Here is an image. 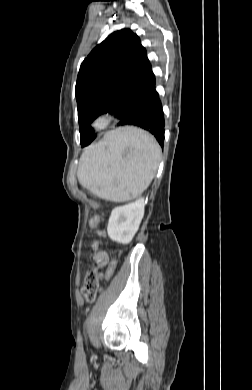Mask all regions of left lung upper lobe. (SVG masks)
<instances>
[{
  "mask_svg": "<svg viewBox=\"0 0 252 390\" xmlns=\"http://www.w3.org/2000/svg\"><path fill=\"white\" fill-rule=\"evenodd\" d=\"M152 73L146 49L130 29L97 45L82 62L75 87L80 137L101 113L117 116Z\"/></svg>",
  "mask_w": 252,
  "mask_h": 390,
  "instance_id": "1",
  "label": "left lung upper lobe"
}]
</instances>
